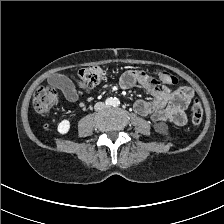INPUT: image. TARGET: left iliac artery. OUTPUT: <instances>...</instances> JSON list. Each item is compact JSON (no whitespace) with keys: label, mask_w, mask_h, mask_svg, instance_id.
Here are the masks:
<instances>
[{"label":"left iliac artery","mask_w":224,"mask_h":224,"mask_svg":"<svg viewBox=\"0 0 224 224\" xmlns=\"http://www.w3.org/2000/svg\"><path fill=\"white\" fill-rule=\"evenodd\" d=\"M119 105H120V101H119V99L114 98V99H113V106H114V107H117V106H119Z\"/></svg>","instance_id":"obj_1"}]
</instances>
